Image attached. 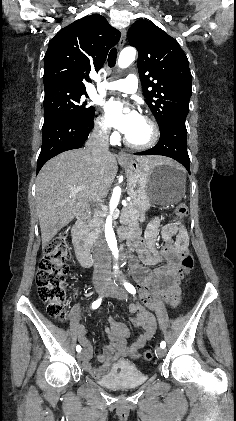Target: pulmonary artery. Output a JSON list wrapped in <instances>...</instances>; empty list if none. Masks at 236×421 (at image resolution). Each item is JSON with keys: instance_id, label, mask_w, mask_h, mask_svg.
Listing matches in <instances>:
<instances>
[{"instance_id": "1", "label": "pulmonary artery", "mask_w": 236, "mask_h": 421, "mask_svg": "<svg viewBox=\"0 0 236 421\" xmlns=\"http://www.w3.org/2000/svg\"><path fill=\"white\" fill-rule=\"evenodd\" d=\"M138 86L136 75L130 74L123 79L108 82L105 88L108 90H117L122 92H135Z\"/></svg>"}]
</instances>
